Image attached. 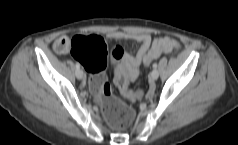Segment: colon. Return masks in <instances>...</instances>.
I'll use <instances>...</instances> for the list:
<instances>
[{"label":"colon","instance_id":"1","mask_svg":"<svg viewBox=\"0 0 238 145\" xmlns=\"http://www.w3.org/2000/svg\"><path fill=\"white\" fill-rule=\"evenodd\" d=\"M178 49L170 38L156 40L144 58L148 65L163 53H171ZM70 52L72 57L90 73L89 86L101 107L102 114L107 123L116 130L127 128L134 120L133 109L117 98L108 83L104 70L107 65L108 51L104 40L99 36H75L71 39ZM124 50L115 46L111 56L121 60ZM115 84L120 92L130 100L139 99L141 91L129 88V78L124 65L119 64L115 71Z\"/></svg>","mask_w":238,"mask_h":145}]
</instances>
